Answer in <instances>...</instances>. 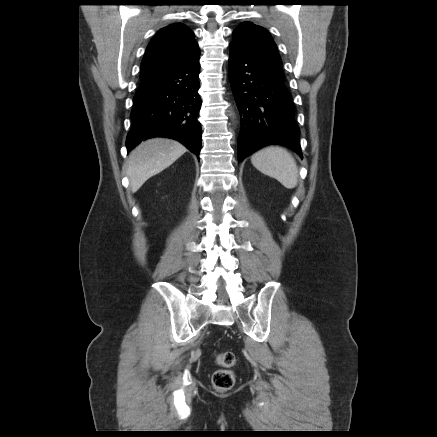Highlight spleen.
Wrapping results in <instances>:
<instances>
[{
    "label": "spleen",
    "mask_w": 437,
    "mask_h": 437,
    "mask_svg": "<svg viewBox=\"0 0 437 437\" xmlns=\"http://www.w3.org/2000/svg\"><path fill=\"white\" fill-rule=\"evenodd\" d=\"M253 166L263 174L275 178L285 188L293 189L298 183V168L295 159L279 146L265 147L251 156Z\"/></svg>",
    "instance_id": "obj_1"
}]
</instances>
